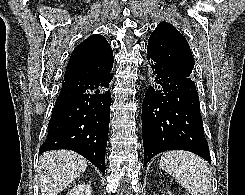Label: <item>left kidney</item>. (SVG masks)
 Listing matches in <instances>:
<instances>
[{"label": "left kidney", "instance_id": "obj_1", "mask_svg": "<svg viewBox=\"0 0 245 195\" xmlns=\"http://www.w3.org/2000/svg\"><path fill=\"white\" fill-rule=\"evenodd\" d=\"M169 195H172L171 192H168Z\"/></svg>", "mask_w": 245, "mask_h": 195}]
</instances>
